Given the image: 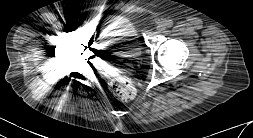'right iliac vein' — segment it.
I'll list each match as a JSON object with an SVG mask.
<instances>
[{
	"label": "right iliac vein",
	"instance_id": "obj_1",
	"mask_svg": "<svg viewBox=\"0 0 253 138\" xmlns=\"http://www.w3.org/2000/svg\"><path fill=\"white\" fill-rule=\"evenodd\" d=\"M71 28H72L73 30H76V29L78 28V25H77L76 23H73V24L71 25Z\"/></svg>",
	"mask_w": 253,
	"mask_h": 138
}]
</instances>
